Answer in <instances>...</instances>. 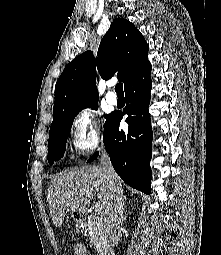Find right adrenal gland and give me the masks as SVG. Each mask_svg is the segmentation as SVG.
<instances>
[{"label": "right adrenal gland", "instance_id": "right-adrenal-gland-1", "mask_svg": "<svg viewBox=\"0 0 221 255\" xmlns=\"http://www.w3.org/2000/svg\"><path fill=\"white\" fill-rule=\"evenodd\" d=\"M125 199V202H126V198H124ZM125 202H124V210L126 209V205H125Z\"/></svg>", "mask_w": 221, "mask_h": 255}]
</instances>
